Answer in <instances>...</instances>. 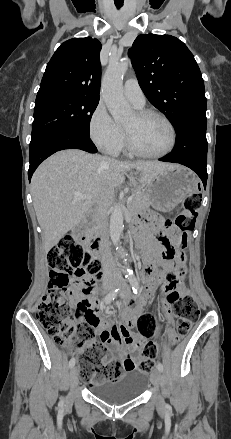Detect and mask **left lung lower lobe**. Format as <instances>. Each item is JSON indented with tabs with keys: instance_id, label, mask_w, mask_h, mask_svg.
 I'll return each mask as SVG.
<instances>
[{
	"instance_id": "left-lung-lower-lobe-1",
	"label": "left lung lower lobe",
	"mask_w": 231,
	"mask_h": 439,
	"mask_svg": "<svg viewBox=\"0 0 231 439\" xmlns=\"http://www.w3.org/2000/svg\"><path fill=\"white\" fill-rule=\"evenodd\" d=\"M206 117L193 118L183 123L176 131L174 149L160 161L185 165L192 169L202 180L207 182V139Z\"/></svg>"
}]
</instances>
